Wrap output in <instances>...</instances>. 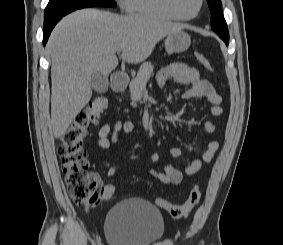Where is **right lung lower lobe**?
Listing matches in <instances>:
<instances>
[{
    "label": "right lung lower lobe",
    "mask_w": 283,
    "mask_h": 245,
    "mask_svg": "<svg viewBox=\"0 0 283 245\" xmlns=\"http://www.w3.org/2000/svg\"><path fill=\"white\" fill-rule=\"evenodd\" d=\"M68 14V13H67ZM66 14L63 15H59L53 18H50L48 20H44V29H43V44L45 45L49 35L52 31V29L54 28V26L57 24V22Z\"/></svg>",
    "instance_id": "right-lung-lower-lobe-1"
}]
</instances>
